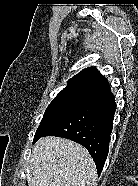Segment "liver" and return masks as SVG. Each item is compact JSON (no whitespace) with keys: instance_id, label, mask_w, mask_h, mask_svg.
Here are the masks:
<instances>
[{"instance_id":"1","label":"liver","mask_w":138,"mask_h":186,"mask_svg":"<svg viewBox=\"0 0 138 186\" xmlns=\"http://www.w3.org/2000/svg\"><path fill=\"white\" fill-rule=\"evenodd\" d=\"M28 186H95L97 173L88 151L59 137H43L32 149Z\"/></svg>"}]
</instances>
